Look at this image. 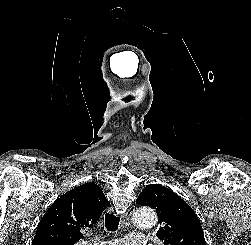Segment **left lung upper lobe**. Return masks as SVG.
Here are the masks:
<instances>
[{"label":"left lung upper lobe","mask_w":251,"mask_h":245,"mask_svg":"<svg viewBox=\"0 0 251 245\" xmlns=\"http://www.w3.org/2000/svg\"><path fill=\"white\" fill-rule=\"evenodd\" d=\"M136 204L150 206L158 214L156 236L164 245H205L200 221L193 209L172 190L147 185Z\"/></svg>","instance_id":"1"}]
</instances>
